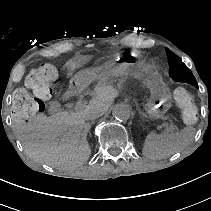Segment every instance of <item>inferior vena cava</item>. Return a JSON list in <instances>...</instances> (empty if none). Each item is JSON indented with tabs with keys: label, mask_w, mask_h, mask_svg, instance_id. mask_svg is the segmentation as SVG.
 Listing matches in <instances>:
<instances>
[{
	"label": "inferior vena cava",
	"mask_w": 211,
	"mask_h": 211,
	"mask_svg": "<svg viewBox=\"0 0 211 211\" xmlns=\"http://www.w3.org/2000/svg\"><path fill=\"white\" fill-rule=\"evenodd\" d=\"M83 113L86 117V120H94L103 115V110L102 109H97L92 105H87L83 109Z\"/></svg>",
	"instance_id": "1"
}]
</instances>
